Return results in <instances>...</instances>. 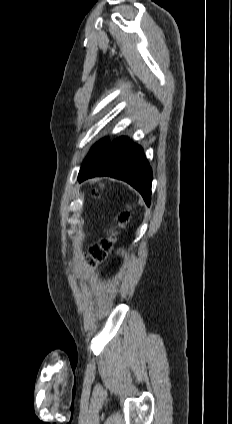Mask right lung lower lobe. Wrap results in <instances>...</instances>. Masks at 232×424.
Wrapping results in <instances>:
<instances>
[{"mask_svg": "<svg viewBox=\"0 0 232 424\" xmlns=\"http://www.w3.org/2000/svg\"><path fill=\"white\" fill-rule=\"evenodd\" d=\"M95 176H109L129 183L149 206L152 171L141 146L120 137L104 146L98 156L78 176L79 182Z\"/></svg>", "mask_w": 232, "mask_h": 424, "instance_id": "right-lung-lower-lobe-1", "label": "right lung lower lobe"}]
</instances>
